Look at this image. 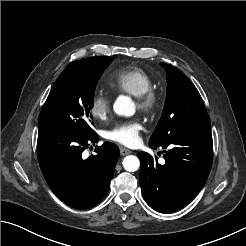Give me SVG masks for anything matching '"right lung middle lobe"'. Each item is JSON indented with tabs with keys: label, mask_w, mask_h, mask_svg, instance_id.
<instances>
[{
	"label": "right lung middle lobe",
	"mask_w": 246,
	"mask_h": 246,
	"mask_svg": "<svg viewBox=\"0 0 246 246\" xmlns=\"http://www.w3.org/2000/svg\"><path fill=\"white\" fill-rule=\"evenodd\" d=\"M112 58L97 56L70 63L54 83L40 113L39 129L92 135L90 127L96 84Z\"/></svg>",
	"instance_id": "right-lung-middle-lobe-1"
}]
</instances>
